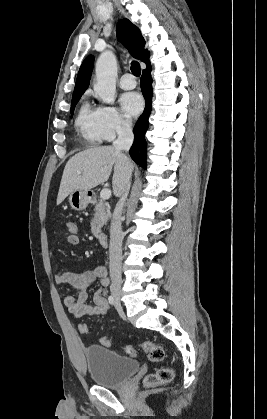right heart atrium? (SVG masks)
Returning <instances> with one entry per match:
<instances>
[{
	"label": "right heart atrium",
	"instance_id": "right-heart-atrium-1",
	"mask_svg": "<svg viewBox=\"0 0 267 419\" xmlns=\"http://www.w3.org/2000/svg\"><path fill=\"white\" fill-rule=\"evenodd\" d=\"M99 123L104 140H113L117 135L127 132L131 122L117 108L113 106H100Z\"/></svg>",
	"mask_w": 267,
	"mask_h": 419
}]
</instances>
